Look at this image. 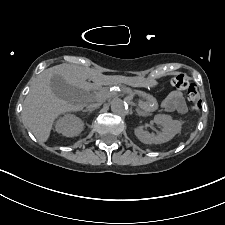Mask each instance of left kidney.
<instances>
[{
	"label": "left kidney",
	"instance_id": "obj_1",
	"mask_svg": "<svg viewBox=\"0 0 225 225\" xmlns=\"http://www.w3.org/2000/svg\"><path fill=\"white\" fill-rule=\"evenodd\" d=\"M153 121L162 127V131L157 135L145 131L143 126L134 129L136 137L144 144L165 143L181 131V123L170 115L158 114Z\"/></svg>",
	"mask_w": 225,
	"mask_h": 225
}]
</instances>
